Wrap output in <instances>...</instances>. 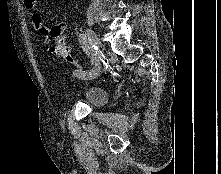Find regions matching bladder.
<instances>
[{
    "instance_id": "1",
    "label": "bladder",
    "mask_w": 221,
    "mask_h": 174,
    "mask_svg": "<svg viewBox=\"0 0 221 174\" xmlns=\"http://www.w3.org/2000/svg\"><path fill=\"white\" fill-rule=\"evenodd\" d=\"M62 98L67 101H81L91 107L103 106L108 100L106 90L96 84H85L77 88L64 91Z\"/></svg>"
}]
</instances>
